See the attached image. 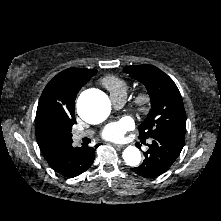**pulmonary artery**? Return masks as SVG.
<instances>
[{
    "label": "pulmonary artery",
    "mask_w": 221,
    "mask_h": 221,
    "mask_svg": "<svg viewBox=\"0 0 221 221\" xmlns=\"http://www.w3.org/2000/svg\"><path fill=\"white\" fill-rule=\"evenodd\" d=\"M125 100H126V95L123 94H117L111 96V101L116 108H119L122 105H124ZM93 133L94 132L92 130H82V131H73L72 135L75 141H79L84 137L91 136Z\"/></svg>",
    "instance_id": "1"
}]
</instances>
